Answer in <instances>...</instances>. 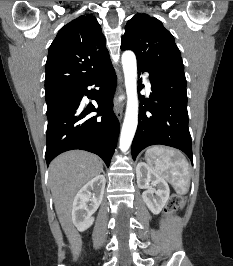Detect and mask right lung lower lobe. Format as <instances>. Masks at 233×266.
I'll return each instance as SVG.
<instances>
[{
  "instance_id": "1",
  "label": "right lung lower lobe",
  "mask_w": 233,
  "mask_h": 266,
  "mask_svg": "<svg viewBox=\"0 0 233 266\" xmlns=\"http://www.w3.org/2000/svg\"><path fill=\"white\" fill-rule=\"evenodd\" d=\"M116 83L110 63L72 93L47 105V165L62 152L81 149L99 155L109 166L120 130L112 110ZM91 85L99 87V90L95 93L89 91L87 87ZM84 95L94 98L98 108L93 105L84 107L81 104ZM91 112L98 114L90 117ZM98 116L102 117L97 119Z\"/></svg>"
}]
</instances>
